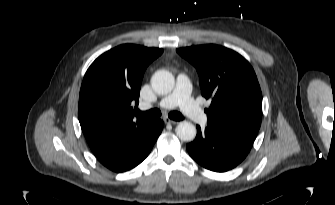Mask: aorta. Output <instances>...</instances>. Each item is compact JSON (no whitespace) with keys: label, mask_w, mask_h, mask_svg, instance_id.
Returning a JSON list of instances; mask_svg holds the SVG:
<instances>
[{"label":"aorta","mask_w":335,"mask_h":205,"mask_svg":"<svg viewBox=\"0 0 335 205\" xmlns=\"http://www.w3.org/2000/svg\"><path fill=\"white\" fill-rule=\"evenodd\" d=\"M175 80L171 72L158 70L151 78V85L158 94H168L174 88ZM176 134L182 141H193L196 136V127L190 122H180L176 127Z\"/></svg>","instance_id":"762f6f07"}]
</instances>
